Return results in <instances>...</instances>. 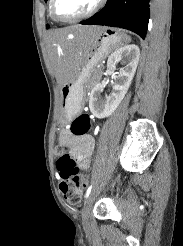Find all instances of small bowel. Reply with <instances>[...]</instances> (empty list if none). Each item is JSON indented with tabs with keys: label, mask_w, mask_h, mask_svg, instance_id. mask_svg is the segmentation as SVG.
I'll use <instances>...</instances> for the list:
<instances>
[{
	"label": "small bowel",
	"mask_w": 183,
	"mask_h": 246,
	"mask_svg": "<svg viewBox=\"0 0 183 246\" xmlns=\"http://www.w3.org/2000/svg\"><path fill=\"white\" fill-rule=\"evenodd\" d=\"M61 141L71 148L70 156L83 169L90 165L91 155L94 148V138L85 134L81 136L74 135L71 130H64L61 133ZM111 187H122V182H117L116 178L111 179Z\"/></svg>",
	"instance_id": "c3829d8e"
}]
</instances>
